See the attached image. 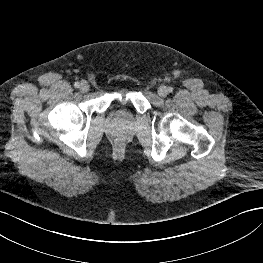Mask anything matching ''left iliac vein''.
Listing matches in <instances>:
<instances>
[{
	"label": "left iliac vein",
	"instance_id": "obj_1",
	"mask_svg": "<svg viewBox=\"0 0 263 263\" xmlns=\"http://www.w3.org/2000/svg\"><path fill=\"white\" fill-rule=\"evenodd\" d=\"M158 94H159V96H161V97H166L167 94H168L167 88H166L165 86H163V85L160 86L159 89H158Z\"/></svg>",
	"mask_w": 263,
	"mask_h": 263
}]
</instances>
